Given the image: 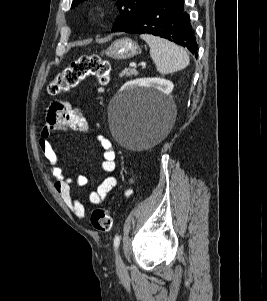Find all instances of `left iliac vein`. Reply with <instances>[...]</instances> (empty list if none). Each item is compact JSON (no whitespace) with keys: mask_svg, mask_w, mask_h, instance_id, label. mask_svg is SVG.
Segmentation results:
<instances>
[{"mask_svg":"<svg viewBox=\"0 0 267 301\" xmlns=\"http://www.w3.org/2000/svg\"><path fill=\"white\" fill-rule=\"evenodd\" d=\"M115 263H116L117 271H119V272H124L125 271V264H124L118 250L115 253Z\"/></svg>","mask_w":267,"mask_h":301,"instance_id":"left-iliac-vein-1","label":"left iliac vein"}]
</instances>
